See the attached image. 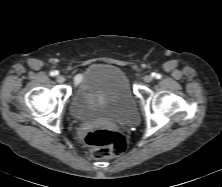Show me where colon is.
I'll return each mask as SVG.
<instances>
[{
  "instance_id": "obj_1",
  "label": "colon",
  "mask_w": 222,
  "mask_h": 187,
  "mask_svg": "<svg viewBox=\"0 0 222 187\" xmlns=\"http://www.w3.org/2000/svg\"><path fill=\"white\" fill-rule=\"evenodd\" d=\"M94 159H104L124 152L128 146L126 137L118 131L107 129L89 130L84 136Z\"/></svg>"
}]
</instances>
